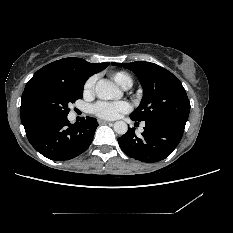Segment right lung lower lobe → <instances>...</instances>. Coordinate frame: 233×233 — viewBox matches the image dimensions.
<instances>
[{
    "instance_id": "1",
    "label": "right lung lower lobe",
    "mask_w": 233,
    "mask_h": 233,
    "mask_svg": "<svg viewBox=\"0 0 233 233\" xmlns=\"http://www.w3.org/2000/svg\"><path fill=\"white\" fill-rule=\"evenodd\" d=\"M97 120L83 118L78 124H71L67 117L41 122L26 131L31 145L51 160L63 161L83 153L91 144Z\"/></svg>"
}]
</instances>
